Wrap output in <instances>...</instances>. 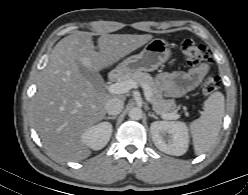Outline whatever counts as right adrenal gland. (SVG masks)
<instances>
[{
	"mask_svg": "<svg viewBox=\"0 0 248 195\" xmlns=\"http://www.w3.org/2000/svg\"><path fill=\"white\" fill-rule=\"evenodd\" d=\"M104 119H106V120H109V119L114 120V119H116V116H108V117H104Z\"/></svg>",
	"mask_w": 248,
	"mask_h": 195,
	"instance_id": "right-adrenal-gland-1",
	"label": "right adrenal gland"
}]
</instances>
